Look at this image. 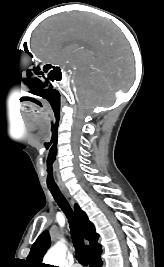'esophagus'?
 Wrapping results in <instances>:
<instances>
[{
	"instance_id": "esophagus-1",
	"label": "esophagus",
	"mask_w": 164,
	"mask_h": 267,
	"mask_svg": "<svg viewBox=\"0 0 164 267\" xmlns=\"http://www.w3.org/2000/svg\"><path fill=\"white\" fill-rule=\"evenodd\" d=\"M63 194L66 196V198L71 202L74 203L72 196L69 194L68 190L65 188H61Z\"/></svg>"
}]
</instances>
